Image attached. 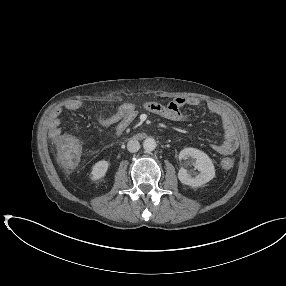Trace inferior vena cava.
Segmentation results:
<instances>
[{
    "mask_svg": "<svg viewBox=\"0 0 286 286\" xmlns=\"http://www.w3.org/2000/svg\"><path fill=\"white\" fill-rule=\"evenodd\" d=\"M127 149L131 153H135L140 149V143L136 139H131L127 143Z\"/></svg>",
    "mask_w": 286,
    "mask_h": 286,
    "instance_id": "obj_1",
    "label": "inferior vena cava"
}]
</instances>
